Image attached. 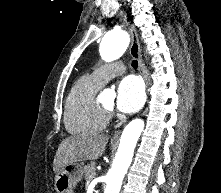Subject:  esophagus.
I'll return each instance as SVG.
<instances>
[{
    "label": "esophagus",
    "mask_w": 221,
    "mask_h": 193,
    "mask_svg": "<svg viewBox=\"0 0 221 193\" xmlns=\"http://www.w3.org/2000/svg\"><path fill=\"white\" fill-rule=\"evenodd\" d=\"M128 28H129V33H130V37H131L130 54L132 55V57L137 59L139 71L144 78L146 86H148L147 76L145 74L141 55H140V45H139L137 31H136L134 25H132V24H129ZM120 134H121V130L115 131L113 134V139H118L120 137Z\"/></svg>",
    "instance_id": "esophagus-1"
}]
</instances>
